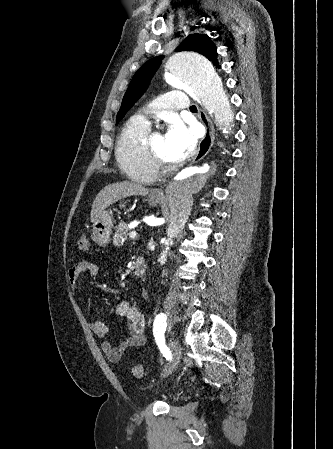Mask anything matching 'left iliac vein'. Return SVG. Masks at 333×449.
<instances>
[{
	"label": "left iliac vein",
	"mask_w": 333,
	"mask_h": 449,
	"mask_svg": "<svg viewBox=\"0 0 333 449\" xmlns=\"http://www.w3.org/2000/svg\"><path fill=\"white\" fill-rule=\"evenodd\" d=\"M169 347H170L171 354H172V363L168 368H166L164 370V373L162 374L163 377H166V376L172 374V372H174V370L177 368V366L181 360V356H182V351H181V347L179 345L178 340L171 339L169 342Z\"/></svg>",
	"instance_id": "left-iliac-vein-1"
}]
</instances>
